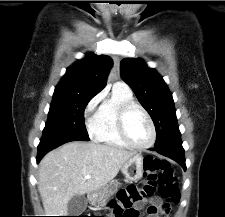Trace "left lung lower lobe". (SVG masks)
<instances>
[{"label":"left lung lower lobe","mask_w":225,"mask_h":217,"mask_svg":"<svg viewBox=\"0 0 225 217\" xmlns=\"http://www.w3.org/2000/svg\"><path fill=\"white\" fill-rule=\"evenodd\" d=\"M151 150L175 160L184 168V170H186L184 149L182 147L181 139L154 147Z\"/></svg>","instance_id":"left-lung-lower-lobe-1"}]
</instances>
